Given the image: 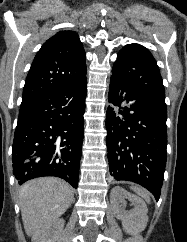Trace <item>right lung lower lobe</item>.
Instances as JSON below:
<instances>
[{"mask_svg":"<svg viewBox=\"0 0 187 242\" xmlns=\"http://www.w3.org/2000/svg\"><path fill=\"white\" fill-rule=\"evenodd\" d=\"M87 78L68 87L23 99L12 162L19 184L56 176L77 188L82 154Z\"/></svg>","mask_w":187,"mask_h":242,"instance_id":"98d812e1","label":"right lung lower lobe"}]
</instances>
